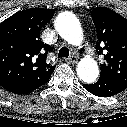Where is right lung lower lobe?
<instances>
[{
  "mask_svg": "<svg viewBox=\"0 0 127 127\" xmlns=\"http://www.w3.org/2000/svg\"><path fill=\"white\" fill-rule=\"evenodd\" d=\"M50 76L51 75H49L45 80L40 82H24V81L8 82L1 84V86L5 90L14 94H27L44 85L49 80Z\"/></svg>",
  "mask_w": 127,
  "mask_h": 127,
  "instance_id": "1",
  "label": "right lung lower lobe"
}]
</instances>
